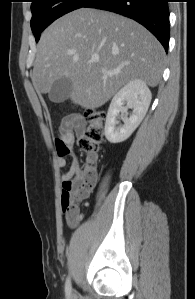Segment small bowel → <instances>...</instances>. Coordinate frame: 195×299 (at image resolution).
<instances>
[{"mask_svg":"<svg viewBox=\"0 0 195 299\" xmlns=\"http://www.w3.org/2000/svg\"><path fill=\"white\" fill-rule=\"evenodd\" d=\"M85 119L80 115H71L66 117L60 125V139L57 141V165L64 167L68 157L71 158L70 168L61 175L63 192L68 190L67 183L74 180L77 172L78 160L73 152V144L76 139L80 138L85 131ZM83 215L80 212L76 217L72 218L65 215V220L68 225L74 227L80 223Z\"/></svg>","mask_w":195,"mask_h":299,"instance_id":"1","label":"small bowel"}]
</instances>
